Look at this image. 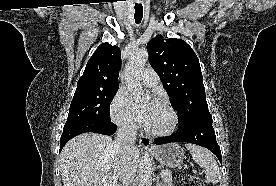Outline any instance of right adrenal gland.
Listing matches in <instances>:
<instances>
[{"instance_id": "right-adrenal-gland-1", "label": "right adrenal gland", "mask_w": 276, "mask_h": 186, "mask_svg": "<svg viewBox=\"0 0 276 186\" xmlns=\"http://www.w3.org/2000/svg\"><path fill=\"white\" fill-rule=\"evenodd\" d=\"M116 186H122L121 184L117 183Z\"/></svg>"}]
</instances>
